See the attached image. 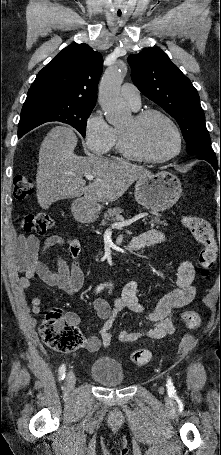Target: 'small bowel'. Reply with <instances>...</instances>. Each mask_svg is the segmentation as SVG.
Returning a JSON list of instances; mask_svg holds the SVG:
<instances>
[{"label": "small bowel", "instance_id": "small-bowel-1", "mask_svg": "<svg viewBox=\"0 0 221 455\" xmlns=\"http://www.w3.org/2000/svg\"><path fill=\"white\" fill-rule=\"evenodd\" d=\"M144 246L161 245L167 242L166 236L157 230H148L135 237ZM67 245L70 255V263L61 255H56V269H52L42 256L52 247ZM80 242L78 239L65 240L59 235H51L43 242L35 235L23 237L16 251L15 262L17 269L23 273L19 284L23 289H29L31 279L39 277L49 286H55L69 295L76 294L83 286L84 277L78 263L80 254ZM195 268L190 261H183L177 271L176 285L172 291L164 295L148 309L138 298L140 284L136 280L127 282L119 296L114 297V306L111 308L108 302L101 297L94 300V309L103 320L98 336L87 339L85 347L89 352H96L101 346L110 347L113 336L110 329L113 326L117 314L129 309L138 315L140 330L121 331L119 340L124 343H132L143 339L159 340L172 334L174 331L175 313L193 301L196 296L194 285ZM35 313L41 312V299L33 297L31 300ZM69 318L78 323L76 316Z\"/></svg>", "mask_w": 221, "mask_h": 455}]
</instances>
